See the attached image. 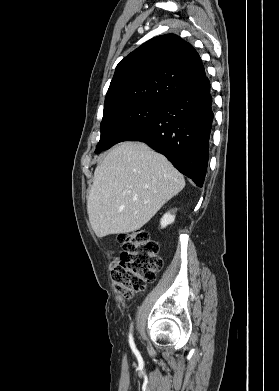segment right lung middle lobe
Returning a JSON list of instances; mask_svg holds the SVG:
<instances>
[{
    "label": "right lung middle lobe",
    "mask_w": 279,
    "mask_h": 391,
    "mask_svg": "<svg viewBox=\"0 0 279 391\" xmlns=\"http://www.w3.org/2000/svg\"><path fill=\"white\" fill-rule=\"evenodd\" d=\"M164 103L140 102L125 105L103 114L101 138L95 153L124 141L132 132L151 122Z\"/></svg>",
    "instance_id": "right-lung-middle-lobe-1"
}]
</instances>
